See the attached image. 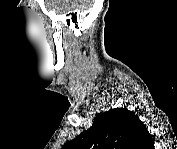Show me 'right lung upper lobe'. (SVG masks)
I'll return each instance as SVG.
<instances>
[{
	"label": "right lung upper lobe",
	"mask_w": 177,
	"mask_h": 149,
	"mask_svg": "<svg viewBox=\"0 0 177 149\" xmlns=\"http://www.w3.org/2000/svg\"><path fill=\"white\" fill-rule=\"evenodd\" d=\"M153 138L138 116L125 108L99 113L92 126L63 149H151Z\"/></svg>",
	"instance_id": "right-lung-upper-lobe-1"
}]
</instances>
